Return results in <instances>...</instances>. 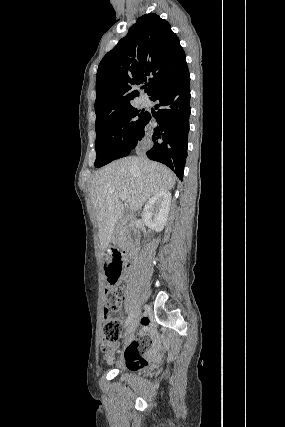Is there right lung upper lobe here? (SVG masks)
<instances>
[{"label": "right lung upper lobe", "instance_id": "obj_1", "mask_svg": "<svg viewBox=\"0 0 285 427\" xmlns=\"http://www.w3.org/2000/svg\"><path fill=\"white\" fill-rule=\"evenodd\" d=\"M187 71L185 52L169 23L156 14L141 16L98 66L95 125L131 106L137 86L147 84L151 97Z\"/></svg>", "mask_w": 285, "mask_h": 427}]
</instances>
